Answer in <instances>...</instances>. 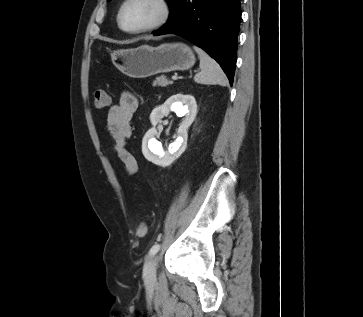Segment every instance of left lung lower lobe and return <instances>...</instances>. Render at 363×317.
Instances as JSON below:
<instances>
[{
  "mask_svg": "<svg viewBox=\"0 0 363 317\" xmlns=\"http://www.w3.org/2000/svg\"><path fill=\"white\" fill-rule=\"evenodd\" d=\"M168 22L154 35L174 33L208 52L233 83L240 0H173Z\"/></svg>",
  "mask_w": 363,
  "mask_h": 317,
  "instance_id": "0a47b994",
  "label": "left lung lower lobe"
}]
</instances>
